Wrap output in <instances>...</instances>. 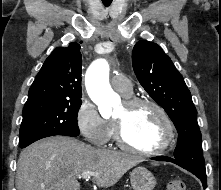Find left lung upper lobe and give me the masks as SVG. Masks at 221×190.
Here are the masks:
<instances>
[{"label":"left lung upper lobe","mask_w":221,"mask_h":190,"mask_svg":"<svg viewBox=\"0 0 221 190\" xmlns=\"http://www.w3.org/2000/svg\"><path fill=\"white\" fill-rule=\"evenodd\" d=\"M132 63L142 87L167 112L178 131L174 158L205 171L197 111L182 75L159 45L146 40L135 44Z\"/></svg>","instance_id":"obj_1"}]
</instances>
